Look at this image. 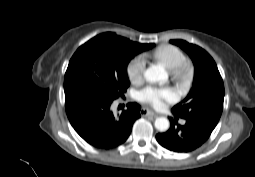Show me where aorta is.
<instances>
[{
  "label": "aorta",
  "mask_w": 255,
  "mask_h": 177,
  "mask_svg": "<svg viewBox=\"0 0 255 177\" xmlns=\"http://www.w3.org/2000/svg\"><path fill=\"white\" fill-rule=\"evenodd\" d=\"M145 79L148 82L154 83L158 81H166L168 74L161 66H151L144 73ZM169 120L165 117H159L155 120V128L160 132H165L169 129Z\"/></svg>",
  "instance_id": "762f6f07"
}]
</instances>
